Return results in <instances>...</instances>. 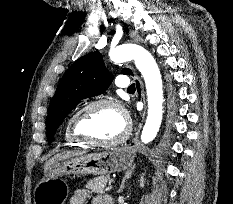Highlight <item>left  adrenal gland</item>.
<instances>
[{
  "label": "left adrenal gland",
  "instance_id": "obj_1",
  "mask_svg": "<svg viewBox=\"0 0 233 204\" xmlns=\"http://www.w3.org/2000/svg\"><path fill=\"white\" fill-rule=\"evenodd\" d=\"M135 168V165H133L130 169H128V171L125 173L124 178L122 179L121 185H120V189L118 190V193H121L124 191L125 188V183L127 181V179H129L133 173V170Z\"/></svg>",
  "mask_w": 233,
  "mask_h": 204
}]
</instances>
